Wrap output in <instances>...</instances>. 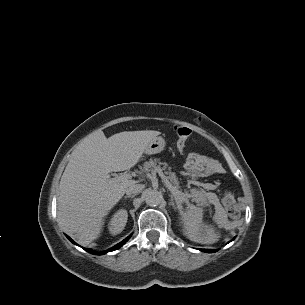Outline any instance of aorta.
<instances>
[{
    "mask_svg": "<svg viewBox=\"0 0 305 305\" xmlns=\"http://www.w3.org/2000/svg\"><path fill=\"white\" fill-rule=\"evenodd\" d=\"M162 194L153 189H149L144 194V199L147 205L149 206H158L162 202Z\"/></svg>",
    "mask_w": 305,
    "mask_h": 305,
    "instance_id": "762f6f07",
    "label": "aorta"
}]
</instances>
